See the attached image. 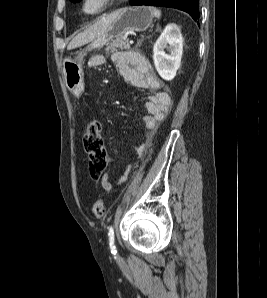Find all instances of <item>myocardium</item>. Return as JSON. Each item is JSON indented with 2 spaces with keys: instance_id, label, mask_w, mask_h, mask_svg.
<instances>
[{
  "instance_id": "1",
  "label": "myocardium",
  "mask_w": 267,
  "mask_h": 298,
  "mask_svg": "<svg viewBox=\"0 0 267 298\" xmlns=\"http://www.w3.org/2000/svg\"><path fill=\"white\" fill-rule=\"evenodd\" d=\"M116 1L117 0H102L101 5L97 9H95L93 11H89L87 9V4H88L89 0H82L81 9H82L83 13H85L86 15L95 16V15L103 13Z\"/></svg>"
}]
</instances>
